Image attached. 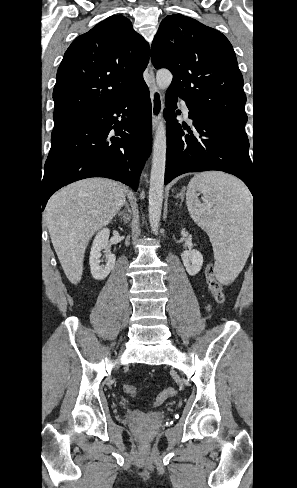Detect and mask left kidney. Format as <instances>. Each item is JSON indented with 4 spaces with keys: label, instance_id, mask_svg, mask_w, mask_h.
I'll return each mask as SVG.
<instances>
[{
    "label": "left kidney",
    "instance_id": "5707ae66",
    "mask_svg": "<svg viewBox=\"0 0 297 488\" xmlns=\"http://www.w3.org/2000/svg\"><path fill=\"white\" fill-rule=\"evenodd\" d=\"M181 258L189 275L198 274L203 265V256L199 251L195 249L186 250L181 254Z\"/></svg>",
    "mask_w": 297,
    "mask_h": 488
}]
</instances>
